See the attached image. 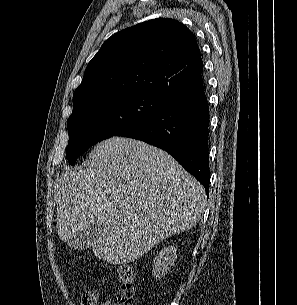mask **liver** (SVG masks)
<instances>
[{"instance_id":"liver-1","label":"liver","mask_w":297,"mask_h":305,"mask_svg":"<svg viewBox=\"0 0 297 305\" xmlns=\"http://www.w3.org/2000/svg\"><path fill=\"white\" fill-rule=\"evenodd\" d=\"M56 202L59 238L67 243L95 224L100 237L92 244L94 255L119 265L196 225L206 193L167 152L112 137L92 150L87 168L62 174Z\"/></svg>"}]
</instances>
